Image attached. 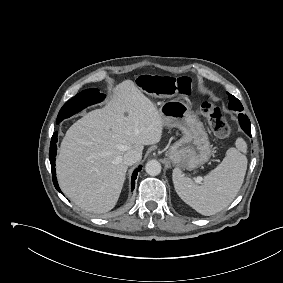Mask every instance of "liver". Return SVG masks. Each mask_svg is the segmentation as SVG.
Masks as SVG:
<instances>
[{
  "label": "liver",
  "instance_id": "1",
  "mask_svg": "<svg viewBox=\"0 0 283 283\" xmlns=\"http://www.w3.org/2000/svg\"><path fill=\"white\" fill-rule=\"evenodd\" d=\"M163 127L160 111L133 81L116 85L107 105L76 121L61 142L56 170L63 193L87 211H110L128 169L124 154L142 157L145 145L160 142Z\"/></svg>",
  "mask_w": 283,
  "mask_h": 283
}]
</instances>
